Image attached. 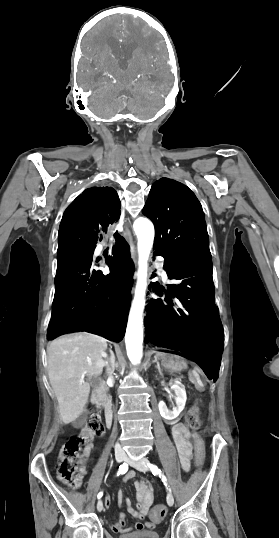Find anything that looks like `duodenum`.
I'll use <instances>...</instances> for the list:
<instances>
[{"instance_id": "410a0bca", "label": "duodenum", "mask_w": 279, "mask_h": 538, "mask_svg": "<svg viewBox=\"0 0 279 538\" xmlns=\"http://www.w3.org/2000/svg\"><path fill=\"white\" fill-rule=\"evenodd\" d=\"M105 386H106V383L104 381L97 382V386H94V389L91 391V394H92V400L101 399V395H103V400H107L105 401V405H104V410H105L104 418H107V419H106V422L103 424V427L105 429H108V428H111V423L113 422L112 414L114 413V410L112 409V402L108 400V395H106ZM92 405H93L94 411L100 410L99 404H95V402H92Z\"/></svg>"}]
</instances>
